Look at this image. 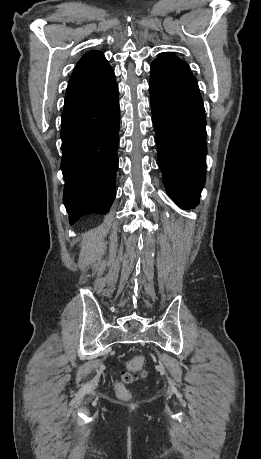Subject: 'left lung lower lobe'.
Returning <instances> with one entry per match:
<instances>
[{"label": "left lung lower lobe", "mask_w": 261, "mask_h": 459, "mask_svg": "<svg viewBox=\"0 0 261 459\" xmlns=\"http://www.w3.org/2000/svg\"><path fill=\"white\" fill-rule=\"evenodd\" d=\"M150 103L158 165L169 196L183 209L199 203L206 178V119L190 69L153 62Z\"/></svg>", "instance_id": "obj_1"}]
</instances>
